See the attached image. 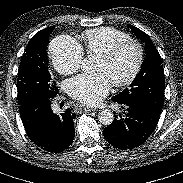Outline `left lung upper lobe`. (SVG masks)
I'll return each instance as SVG.
<instances>
[{"label": "left lung upper lobe", "mask_w": 183, "mask_h": 183, "mask_svg": "<svg viewBox=\"0 0 183 183\" xmlns=\"http://www.w3.org/2000/svg\"><path fill=\"white\" fill-rule=\"evenodd\" d=\"M145 43V61L129 89L113 97L116 102H136L161 113L165 79L161 57L150 37L138 28L127 25Z\"/></svg>", "instance_id": "1"}]
</instances>
